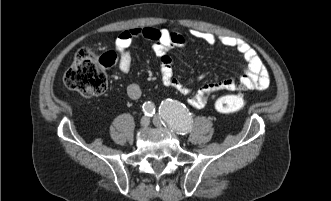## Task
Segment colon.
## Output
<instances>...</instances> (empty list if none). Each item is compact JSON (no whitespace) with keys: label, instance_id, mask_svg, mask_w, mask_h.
<instances>
[{"label":"colon","instance_id":"obj_1","mask_svg":"<svg viewBox=\"0 0 331 201\" xmlns=\"http://www.w3.org/2000/svg\"><path fill=\"white\" fill-rule=\"evenodd\" d=\"M114 52L99 54L92 49L80 50L64 75V86L84 97H96L105 93L107 79L105 69L116 61ZM219 97L215 101V108L221 113H233L242 110L247 99L244 91Z\"/></svg>","mask_w":331,"mask_h":201}]
</instances>
